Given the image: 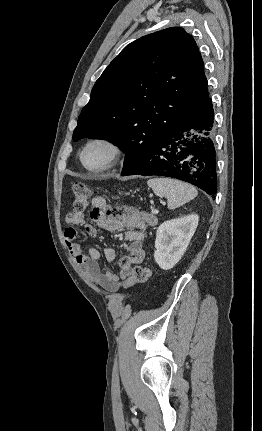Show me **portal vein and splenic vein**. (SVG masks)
Segmentation results:
<instances>
[{
	"label": "portal vein and splenic vein",
	"mask_w": 262,
	"mask_h": 431,
	"mask_svg": "<svg viewBox=\"0 0 262 431\" xmlns=\"http://www.w3.org/2000/svg\"><path fill=\"white\" fill-rule=\"evenodd\" d=\"M151 212H152L153 214H156V213H158V210L153 209Z\"/></svg>",
	"instance_id": "1"
}]
</instances>
